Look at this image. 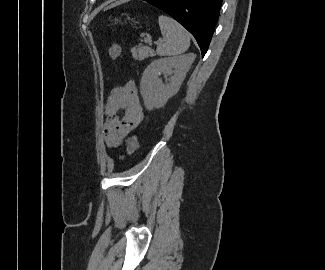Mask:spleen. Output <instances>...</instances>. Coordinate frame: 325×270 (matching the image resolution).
<instances>
[{
	"mask_svg": "<svg viewBox=\"0 0 325 270\" xmlns=\"http://www.w3.org/2000/svg\"><path fill=\"white\" fill-rule=\"evenodd\" d=\"M161 34L164 42L157 46V54L160 56H175L187 51L190 45V35L174 19L160 15L158 18Z\"/></svg>",
	"mask_w": 325,
	"mask_h": 270,
	"instance_id": "3e777b00",
	"label": "spleen"
}]
</instances>
